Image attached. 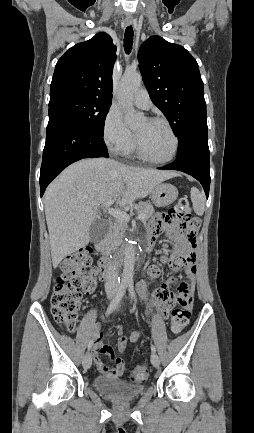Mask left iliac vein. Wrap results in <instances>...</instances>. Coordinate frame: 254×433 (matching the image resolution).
<instances>
[{
  "label": "left iliac vein",
  "mask_w": 254,
  "mask_h": 433,
  "mask_svg": "<svg viewBox=\"0 0 254 433\" xmlns=\"http://www.w3.org/2000/svg\"><path fill=\"white\" fill-rule=\"evenodd\" d=\"M151 363H152V365L154 366V367H158L159 366V364H160V359H159V356L155 353V352H153L152 354H151Z\"/></svg>",
  "instance_id": "1"
}]
</instances>
